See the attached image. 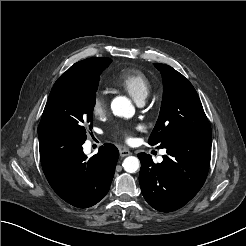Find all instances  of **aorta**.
Here are the masks:
<instances>
[{"label":"aorta","mask_w":246,"mask_h":246,"mask_svg":"<svg viewBox=\"0 0 246 246\" xmlns=\"http://www.w3.org/2000/svg\"><path fill=\"white\" fill-rule=\"evenodd\" d=\"M111 109L114 115L124 118H131L135 114V108L131 101L125 96H118L113 99ZM123 168L128 173H135L140 166L139 159L135 156H129L123 161Z\"/></svg>","instance_id":"obj_1"}]
</instances>
